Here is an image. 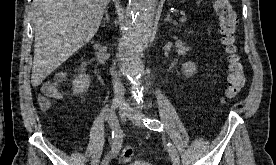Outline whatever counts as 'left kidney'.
Returning a JSON list of instances; mask_svg holds the SVG:
<instances>
[{
    "mask_svg": "<svg viewBox=\"0 0 276 165\" xmlns=\"http://www.w3.org/2000/svg\"><path fill=\"white\" fill-rule=\"evenodd\" d=\"M182 72L186 77L193 76L197 72L195 63L186 62L182 65Z\"/></svg>",
    "mask_w": 276,
    "mask_h": 165,
    "instance_id": "1",
    "label": "left kidney"
}]
</instances>
